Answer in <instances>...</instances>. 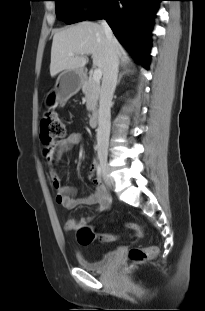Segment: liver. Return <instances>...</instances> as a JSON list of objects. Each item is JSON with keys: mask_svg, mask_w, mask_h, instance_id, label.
I'll list each match as a JSON object with an SVG mask.
<instances>
[{"mask_svg": "<svg viewBox=\"0 0 205 311\" xmlns=\"http://www.w3.org/2000/svg\"><path fill=\"white\" fill-rule=\"evenodd\" d=\"M115 38V37H114ZM108 40L102 25L83 21L54 34L51 48L50 75L55 77L64 70H82L87 63L84 55L91 54L93 65L105 72ZM118 57L127 62L124 50L115 38ZM73 53V56H69Z\"/></svg>", "mask_w": 205, "mask_h": 311, "instance_id": "liver-1", "label": "liver"}]
</instances>
